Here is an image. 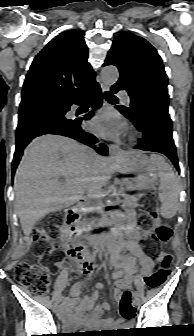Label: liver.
Segmentation results:
<instances>
[{
	"instance_id": "obj_1",
	"label": "liver",
	"mask_w": 194,
	"mask_h": 336,
	"mask_svg": "<svg viewBox=\"0 0 194 336\" xmlns=\"http://www.w3.org/2000/svg\"><path fill=\"white\" fill-rule=\"evenodd\" d=\"M117 169L121 166L115 159L93 161L89 148L73 139L58 135L35 138L24 150L14 179L15 204L24 234L29 236L45 215L73 205L85 194H99ZM95 178H100L97 186Z\"/></svg>"
}]
</instances>
